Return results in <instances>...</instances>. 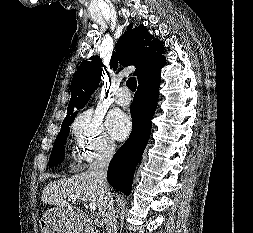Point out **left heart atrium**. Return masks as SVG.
Wrapping results in <instances>:
<instances>
[{
    "label": "left heart atrium",
    "instance_id": "39dd6f15",
    "mask_svg": "<svg viewBox=\"0 0 253 233\" xmlns=\"http://www.w3.org/2000/svg\"><path fill=\"white\" fill-rule=\"evenodd\" d=\"M110 134L117 140L125 139L131 131L130 119L121 112H112L107 119Z\"/></svg>",
    "mask_w": 253,
    "mask_h": 233
}]
</instances>
